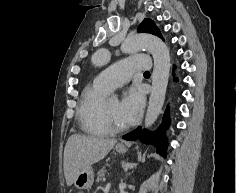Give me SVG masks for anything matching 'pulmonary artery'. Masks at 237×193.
<instances>
[{
	"label": "pulmonary artery",
	"mask_w": 237,
	"mask_h": 193,
	"mask_svg": "<svg viewBox=\"0 0 237 193\" xmlns=\"http://www.w3.org/2000/svg\"><path fill=\"white\" fill-rule=\"evenodd\" d=\"M150 67V59L147 56L126 58L97 75L95 80L109 90H112L127 83L135 71H146Z\"/></svg>",
	"instance_id": "pulmonary-artery-1"
}]
</instances>
